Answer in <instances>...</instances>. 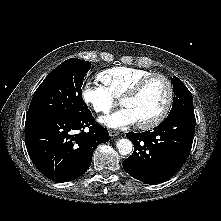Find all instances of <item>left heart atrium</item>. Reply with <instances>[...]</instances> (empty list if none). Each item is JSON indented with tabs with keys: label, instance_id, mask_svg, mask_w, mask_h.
Masks as SVG:
<instances>
[{
	"label": "left heart atrium",
	"instance_id": "obj_1",
	"mask_svg": "<svg viewBox=\"0 0 221 221\" xmlns=\"http://www.w3.org/2000/svg\"><path fill=\"white\" fill-rule=\"evenodd\" d=\"M100 122L110 128H124L137 123L134 115L127 108L101 118Z\"/></svg>",
	"mask_w": 221,
	"mask_h": 221
}]
</instances>
